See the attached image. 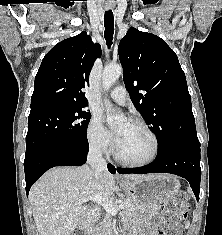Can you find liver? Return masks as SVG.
Returning a JSON list of instances; mask_svg holds the SVG:
<instances>
[{"instance_id": "1", "label": "liver", "mask_w": 222, "mask_h": 235, "mask_svg": "<svg viewBox=\"0 0 222 235\" xmlns=\"http://www.w3.org/2000/svg\"><path fill=\"white\" fill-rule=\"evenodd\" d=\"M151 176L128 174L127 181ZM120 189L107 170L88 165L55 167L48 170L31 188L29 201L39 235H71L91 215L83 197L100 195L110 198Z\"/></svg>"}]
</instances>
